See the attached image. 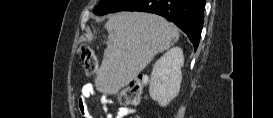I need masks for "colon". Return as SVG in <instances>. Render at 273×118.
<instances>
[{"mask_svg": "<svg viewBox=\"0 0 273 118\" xmlns=\"http://www.w3.org/2000/svg\"><path fill=\"white\" fill-rule=\"evenodd\" d=\"M79 54L83 61L84 70L88 76H92L97 70V58L89 44L83 43L79 47ZM143 80L136 79L129 86L122 89L118 94L120 104L130 106L137 104L141 98Z\"/></svg>", "mask_w": 273, "mask_h": 118, "instance_id": "5ec220e1", "label": "colon"}]
</instances>
